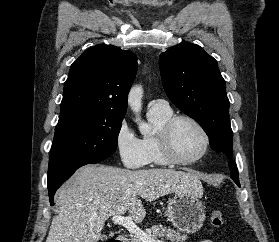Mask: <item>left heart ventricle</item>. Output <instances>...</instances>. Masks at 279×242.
<instances>
[{"label": "left heart ventricle", "instance_id": "obj_1", "mask_svg": "<svg viewBox=\"0 0 279 242\" xmlns=\"http://www.w3.org/2000/svg\"><path fill=\"white\" fill-rule=\"evenodd\" d=\"M172 145L179 158L188 160L202 151L203 138L193 124L187 121H179L172 132Z\"/></svg>", "mask_w": 279, "mask_h": 242}]
</instances>
